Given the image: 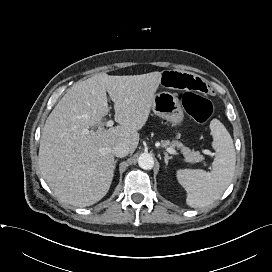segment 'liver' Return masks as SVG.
<instances>
[{
  "instance_id": "obj_1",
  "label": "liver",
  "mask_w": 272,
  "mask_h": 272,
  "mask_svg": "<svg viewBox=\"0 0 272 272\" xmlns=\"http://www.w3.org/2000/svg\"><path fill=\"white\" fill-rule=\"evenodd\" d=\"M161 76L99 73L75 83L62 97L45 122L39 148L41 174L59 200L86 207L107 194L114 176L112 149L126 144L130 152L136 150ZM107 92L119 124L109 129L102 122L110 112Z\"/></svg>"
}]
</instances>
